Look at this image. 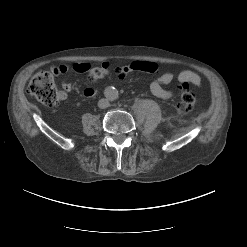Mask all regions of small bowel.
I'll use <instances>...</instances> for the list:
<instances>
[{"mask_svg": "<svg viewBox=\"0 0 247 247\" xmlns=\"http://www.w3.org/2000/svg\"><path fill=\"white\" fill-rule=\"evenodd\" d=\"M107 64V63H105ZM108 65V64H107ZM70 70L76 73H86L90 70V64L87 62H78L73 64L71 67L67 64H61L52 67V73L54 75H62L68 73ZM132 71H142L146 73H155L158 71L157 64L153 62L147 61H134L130 65L121 67L116 70V74L118 76H125L126 74ZM174 80L178 81L182 84H193L196 86H200L201 77L200 75L192 70H184L180 72L178 75H174L171 72H164L157 76L150 84L151 93L157 98L163 100H171L174 98V93L165 89L166 85H169ZM73 90V84L69 80H65L62 83V90L59 92L60 100H64L67 98L68 93ZM84 96L87 98H91L96 94V89L93 87H87L84 90Z\"/></svg>", "mask_w": 247, "mask_h": 247, "instance_id": "1", "label": "small bowel"}]
</instances>
